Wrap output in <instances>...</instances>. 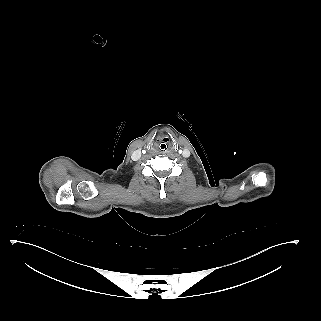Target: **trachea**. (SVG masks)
Returning a JSON list of instances; mask_svg holds the SVG:
<instances>
[{
  "mask_svg": "<svg viewBox=\"0 0 321 321\" xmlns=\"http://www.w3.org/2000/svg\"><path fill=\"white\" fill-rule=\"evenodd\" d=\"M159 152L160 153H167L168 152V145L166 144V143H161L160 145H159Z\"/></svg>",
  "mask_w": 321,
  "mask_h": 321,
  "instance_id": "trachea-1",
  "label": "trachea"
}]
</instances>
